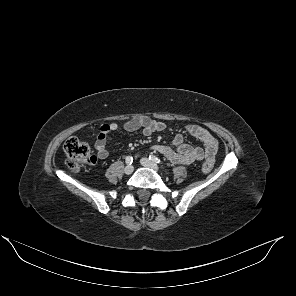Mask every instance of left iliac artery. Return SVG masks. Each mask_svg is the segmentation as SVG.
<instances>
[{"label": "left iliac artery", "instance_id": "left-iliac-artery-1", "mask_svg": "<svg viewBox=\"0 0 296 296\" xmlns=\"http://www.w3.org/2000/svg\"><path fill=\"white\" fill-rule=\"evenodd\" d=\"M149 159L156 164H161V160L154 155H149Z\"/></svg>", "mask_w": 296, "mask_h": 296}]
</instances>
